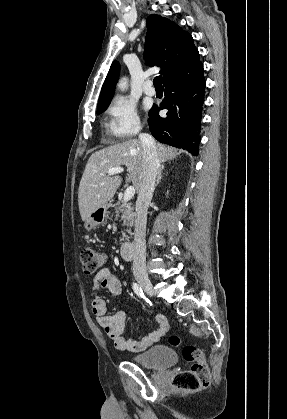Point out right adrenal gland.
Listing matches in <instances>:
<instances>
[{
    "instance_id": "2a0ac1e0",
    "label": "right adrenal gland",
    "mask_w": 287,
    "mask_h": 419,
    "mask_svg": "<svg viewBox=\"0 0 287 419\" xmlns=\"http://www.w3.org/2000/svg\"><path fill=\"white\" fill-rule=\"evenodd\" d=\"M164 165H161L160 167H159V169H158V174H157V180H156V185L155 186H158V184L160 183V180L162 179V177H163V170H164Z\"/></svg>"
}]
</instances>
